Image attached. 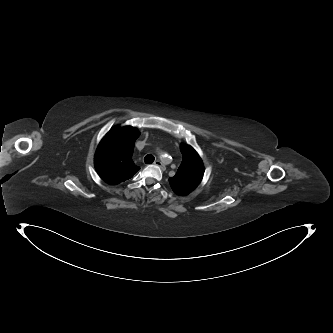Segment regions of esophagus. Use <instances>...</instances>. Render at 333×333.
<instances>
[{
    "label": "esophagus",
    "instance_id": "1",
    "mask_svg": "<svg viewBox=\"0 0 333 333\" xmlns=\"http://www.w3.org/2000/svg\"><path fill=\"white\" fill-rule=\"evenodd\" d=\"M154 164H155L156 166H160L161 168L164 167L163 163H162L160 160H155Z\"/></svg>",
    "mask_w": 333,
    "mask_h": 333
}]
</instances>
